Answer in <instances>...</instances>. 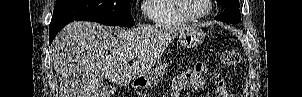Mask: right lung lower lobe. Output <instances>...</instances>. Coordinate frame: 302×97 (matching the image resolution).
I'll list each match as a JSON object with an SVG mask.
<instances>
[{
	"label": "right lung lower lobe",
	"instance_id": "right-lung-lower-lobe-1",
	"mask_svg": "<svg viewBox=\"0 0 302 97\" xmlns=\"http://www.w3.org/2000/svg\"><path fill=\"white\" fill-rule=\"evenodd\" d=\"M78 21V20H83V21H93V22H98V23H101V24H105V25H109V26H116L114 25L113 23H109V22H105V21H99V20H90V19H71V20H66V21H62V22H59L57 24H54V25H50V30H49V33H50V44L51 42L53 41V39L55 38V36L57 35V33L65 26L67 25L68 23L72 22V21Z\"/></svg>",
	"mask_w": 302,
	"mask_h": 97
}]
</instances>
